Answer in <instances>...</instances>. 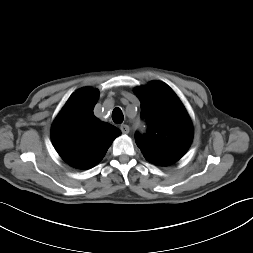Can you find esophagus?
I'll return each instance as SVG.
<instances>
[{"label": "esophagus", "instance_id": "esophagus-1", "mask_svg": "<svg viewBox=\"0 0 253 253\" xmlns=\"http://www.w3.org/2000/svg\"><path fill=\"white\" fill-rule=\"evenodd\" d=\"M120 130L123 134H128L130 131V127L126 124L120 126Z\"/></svg>", "mask_w": 253, "mask_h": 253}]
</instances>
